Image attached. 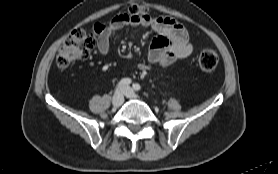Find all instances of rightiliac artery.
Here are the masks:
<instances>
[{"label":"right iliac artery","instance_id":"obj_1","mask_svg":"<svg viewBox=\"0 0 278 174\" xmlns=\"http://www.w3.org/2000/svg\"><path fill=\"white\" fill-rule=\"evenodd\" d=\"M131 82H132V81H131L130 78H123V79L117 84L116 92H117L120 88L130 85Z\"/></svg>","mask_w":278,"mask_h":174}]
</instances>
